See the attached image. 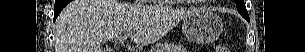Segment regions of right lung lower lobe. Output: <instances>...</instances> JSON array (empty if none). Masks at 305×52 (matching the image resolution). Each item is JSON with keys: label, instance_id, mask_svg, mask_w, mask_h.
<instances>
[{"label": "right lung lower lobe", "instance_id": "right-lung-lower-lobe-1", "mask_svg": "<svg viewBox=\"0 0 305 52\" xmlns=\"http://www.w3.org/2000/svg\"><path fill=\"white\" fill-rule=\"evenodd\" d=\"M70 2V0H56L54 6V21L61 10Z\"/></svg>", "mask_w": 305, "mask_h": 52}]
</instances>
